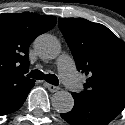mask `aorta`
<instances>
[{
    "mask_svg": "<svg viewBox=\"0 0 125 125\" xmlns=\"http://www.w3.org/2000/svg\"><path fill=\"white\" fill-rule=\"evenodd\" d=\"M34 47L38 55L43 59H55L61 51L59 41L52 35L42 34L34 42ZM52 106L59 113H68L74 106V99L67 91H57L53 94Z\"/></svg>",
    "mask_w": 125,
    "mask_h": 125,
    "instance_id": "obj_1",
    "label": "aorta"
}]
</instances>
